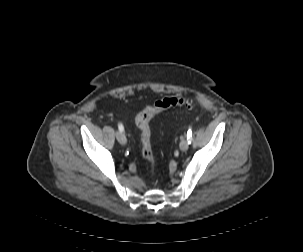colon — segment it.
<instances>
[{"instance_id": "5ec220e1", "label": "colon", "mask_w": 303, "mask_h": 252, "mask_svg": "<svg viewBox=\"0 0 303 252\" xmlns=\"http://www.w3.org/2000/svg\"><path fill=\"white\" fill-rule=\"evenodd\" d=\"M174 106H186L191 109L195 107V103L192 99L185 96L177 95L166 97L157 100L151 106H148L141 111L136 117V125L140 131L142 154L148 161H150L153 172L156 171L157 159L151 150V130L149 122L155 113Z\"/></svg>"}]
</instances>
